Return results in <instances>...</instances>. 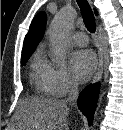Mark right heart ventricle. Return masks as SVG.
I'll return each instance as SVG.
<instances>
[{
    "label": "right heart ventricle",
    "instance_id": "e07e8e85",
    "mask_svg": "<svg viewBox=\"0 0 123 130\" xmlns=\"http://www.w3.org/2000/svg\"><path fill=\"white\" fill-rule=\"evenodd\" d=\"M32 79L39 92L47 96L54 95L48 75V62L42 52H37L33 57Z\"/></svg>",
    "mask_w": 123,
    "mask_h": 130
}]
</instances>
